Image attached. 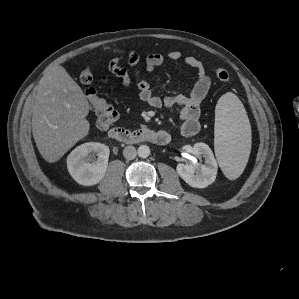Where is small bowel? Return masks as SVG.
I'll return each mask as SVG.
<instances>
[{
  "label": "small bowel",
  "mask_w": 299,
  "mask_h": 299,
  "mask_svg": "<svg viewBox=\"0 0 299 299\" xmlns=\"http://www.w3.org/2000/svg\"><path fill=\"white\" fill-rule=\"evenodd\" d=\"M167 57L170 61L176 62L181 60L182 54L179 51H171ZM125 58L131 67L139 65L140 55L137 51L132 50L128 52ZM121 60L122 57L112 58L108 64V68L112 74L121 80L123 85L130 86L135 82L140 99L152 107L177 108L181 119V133L187 137L197 134L200 129V107L211 86V78L206 73L205 67L200 60L194 56L184 58L185 64L194 69L197 74V80L192 90L188 94L165 97H160L153 92L150 82L140 77L138 69L131 74L121 65ZM163 62L164 56L162 54H151L145 60V69L148 73H153Z\"/></svg>",
  "instance_id": "obj_1"
}]
</instances>
